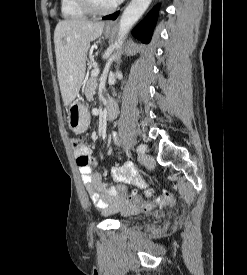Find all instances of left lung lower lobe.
Returning a JSON list of instances; mask_svg holds the SVG:
<instances>
[{
	"label": "left lung lower lobe",
	"instance_id": "0a47b994",
	"mask_svg": "<svg viewBox=\"0 0 247 275\" xmlns=\"http://www.w3.org/2000/svg\"><path fill=\"white\" fill-rule=\"evenodd\" d=\"M158 8L152 9L146 18L139 23L132 31V35L142 41L143 43H149L152 36V31L156 22ZM119 12L103 17L104 20H115Z\"/></svg>",
	"mask_w": 247,
	"mask_h": 275
}]
</instances>
